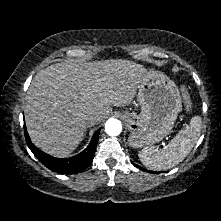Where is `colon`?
<instances>
[{"label":"colon","instance_id":"5ec220e1","mask_svg":"<svg viewBox=\"0 0 221 221\" xmlns=\"http://www.w3.org/2000/svg\"><path fill=\"white\" fill-rule=\"evenodd\" d=\"M182 96H183L185 107L187 108V110L192 111L193 104H192L190 95L185 87L182 88Z\"/></svg>","mask_w":221,"mask_h":221}]
</instances>
